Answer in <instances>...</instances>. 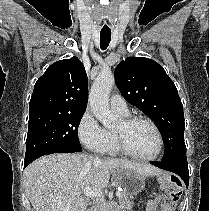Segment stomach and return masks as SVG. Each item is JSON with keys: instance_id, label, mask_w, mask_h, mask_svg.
<instances>
[{"instance_id": "1", "label": "stomach", "mask_w": 209, "mask_h": 211, "mask_svg": "<svg viewBox=\"0 0 209 211\" xmlns=\"http://www.w3.org/2000/svg\"><path fill=\"white\" fill-rule=\"evenodd\" d=\"M118 181L123 191L129 196L134 197L145 187L144 179L131 170H122L118 175Z\"/></svg>"}]
</instances>
